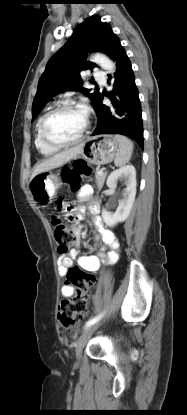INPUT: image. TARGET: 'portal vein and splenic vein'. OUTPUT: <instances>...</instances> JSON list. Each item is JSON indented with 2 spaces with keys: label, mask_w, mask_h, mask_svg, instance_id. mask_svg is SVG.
Listing matches in <instances>:
<instances>
[{
  "label": "portal vein and splenic vein",
  "mask_w": 187,
  "mask_h": 415,
  "mask_svg": "<svg viewBox=\"0 0 187 415\" xmlns=\"http://www.w3.org/2000/svg\"><path fill=\"white\" fill-rule=\"evenodd\" d=\"M99 174H103V170L101 169V170H99V172H98Z\"/></svg>",
  "instance_id": "18ae733b"
}]
</instances>
